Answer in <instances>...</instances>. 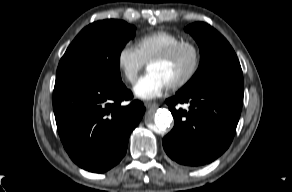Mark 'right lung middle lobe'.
I'll return each instance as SVG.
<instances>
[{
    "label": "right lung middle lobe",
    "mask_w": 292,
    "mask_h": 192,
    "mask_svg": "<svg viewBox=\"0 0 292 192\" xmlns=\"http://www.w3.org/2000/svg\"><path fill=\"white\" fill-rule=\"evenodd\" d=\"M135 35V27L121 20L97 21L85 27L61 58L57 74L93 76L111 84H122L120 53Z\"/></svg>",
    "instance_id": "obj_1"
}]
</instances>
